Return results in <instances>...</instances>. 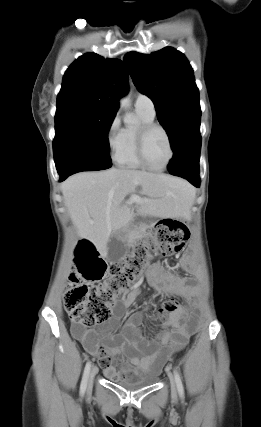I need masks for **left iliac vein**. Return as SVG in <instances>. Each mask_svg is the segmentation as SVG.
<instances>
[{
    "label": "left iliac vein",
    "mask_w": 261,
    "mask_h": 427,
    "mask_svg": "<svg viewBox=\"0 0 261 427\" xmlns=\"http://www.w3.org/2000/svg\"><path fill=\"white\" fill-rule=\"evenodd\" d=\"M168 377L170 379V384H171V393L173 396H177V386H176L175 377L170 372H168Z\"/></svg>",
    "instance_id": "1"
}]
</instances>
